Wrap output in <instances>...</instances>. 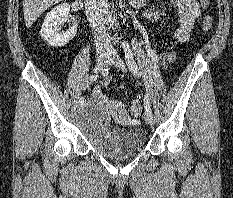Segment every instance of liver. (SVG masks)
<instances>
[{
    "label": "liver",
    "mask_w": 233,
    "mask_h": 198,
    "mask_svg": "<svg viewBox=\"0 0 233 198\" xmlns=\"http://www.w3.org/2000/svg\"><path fill=\"white\" fill-rule=\"evenodd\" d=\"M62 0H23V13L27 28L49 7L61 2Z\"/></svg>",
    "instance_id": "1"
}]
</instances>
